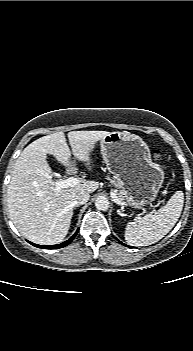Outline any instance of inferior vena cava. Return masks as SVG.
Masks as SVG:
<instances>
[{
	"mask_svg": "<svg viewBox=\"0 0 193 351\" xmlns=\"http://www.w3.org/2000/svg\"><path fill=\"white\" fill-rule=\"evenodd\" d=\"M90 198V194L87 191H81L75 196V205H83Z\"/></svg>",
	"mask_w": 193,
	"mask_h": 351,
	"instance_id": "602c4592",
	"label": "inferior vena cava"
}]
</instances>
